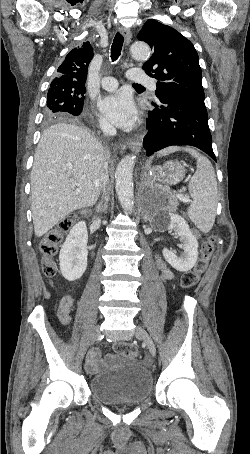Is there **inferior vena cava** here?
<instances>
[{"instance_id": "obj_1", "label": "inferior vena cava", "mask_w": 250, "mask_h": 454, "mask_svg": "<svg viewBox=\"0 0 250 454\" xmlns=\"http://www.w3.org/2000/svg\"><path fill=\"white\" fill-rule=\"evenodd\" d=\"M101 129L104 133L105 136H114L116 135V129L110 125L109 123L107 122H104L102 123L101 125ZM107 168H108V164L107 162L105 161L104 162V172L101 176V182H100V188L102 189L103 191V197L105 198L106 196V185L108 183V172H107Z\"/></svg>"}]
</instances>
